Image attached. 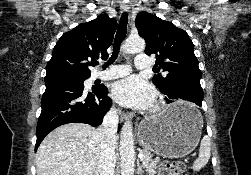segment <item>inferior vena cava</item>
<instances>
[{
	"label": "inferior vena cava",
	"mask_w": 251,
	"mask_h": 175,
	"mask_svg": "<svg viewBox=\"0 0 251 175\" xmlns=\"http://www.w3.org/2000/svg\"><path fill=\"white\" fill-rule=\"evenodd\" d=\"M118 121L117 109H110L104 115V119L97 129L96 137H100L101 145L99 159L100 175H114L115 173Z\"/></svg>",
	"instance_id": "obj_1"
}]
</instances>
